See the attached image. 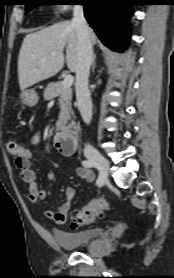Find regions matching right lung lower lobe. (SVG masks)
I'll return each instance as SVG.
<instances>
[{"mask_svg":"<svg viewBox=\"0 0 174 278\" xmlns=\"http://www.w3.org/2000/svg\"><path fill=\"white\" fill-rule=\"evenodd\" d=\"M84 15L107 47L123 51L129 35L130 0H79Z\"/></svg>","mask_w":174,"mask_h":278,"instance_id":"right-lung-lower-lobe-1","label":"right lung lower lobe"}]
</instances>
